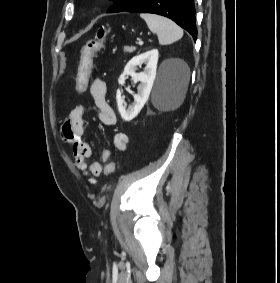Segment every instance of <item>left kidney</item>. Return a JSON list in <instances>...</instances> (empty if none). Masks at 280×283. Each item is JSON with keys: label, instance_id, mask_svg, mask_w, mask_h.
Masks as SVG:
<instances>
[{"label": "left kidney", "instance_id": "1", "mask_svg": "<svg viewBox=\"0 0 280 283\" xmlns=\"http://www.w3.org/2000/svg\"><path fill=\"white\" fill-rule=\"evenodd\" d=\"M158 55V50L153 49L133 57L127 63L123 73L120 75L118 83L121 86L125 84L127 76H131L134 83H140L138 86V93L134 95V102L128 108H126L123 104L124 101L121 96L120 89L117 90L116 101L118 110L125 121H131L134 119L147 102L156 77ZM143 63L146 64L144 71L136 73L137 66Z\"/></svg>", "mask_w": 280, "mask_h": 283}]
</instances>
